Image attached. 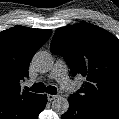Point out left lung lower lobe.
I'll return each instance as SVG.
<instances>
[{
	"label": "left lung lower lobe",
	"mask_w": 119,
	"mask_h": 119,
	"mask_svg": "<svg viewBox=\"0 0 119 119\" xmlns=\"http://www.w3.org/2000/svg\"><path fill=\"white\" fill-rule=\"evenodd\" d=\"M62 119H119V116L96 110L81 101L69 98V109Z\"/></svg>",
	"instance_id": "obj_1"
}]
</instances>
